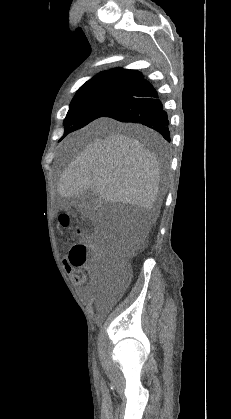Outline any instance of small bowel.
<instances>
[{
  "instance_id": "obj_1",
  "label": "small bowel",
  "mask_w": 231,
  "mask_h": 419,
  "mask_svg": "<svg viewBox=\"0 0 231 419\" xmlns=\"http://www.w3.org/2000/svg\"><path fill=\"white\" fill-rule=\"evenodd\" d=\"M64 266L66 268H69V269L74 268L73 265H71L67 261L64 262ZM86 279H87V275H86L85 271L82 270V269H79V271L76 274H73V280L78 285H82L83 283H85Z\"/></svg>"
}]
</instances>
